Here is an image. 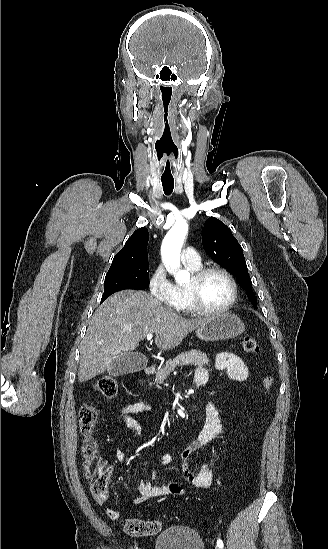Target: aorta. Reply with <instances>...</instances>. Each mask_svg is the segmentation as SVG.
<instances>
[{
    "instance_id": "762f6f07",
    "label": "aorta",
    "mask_w": 328,
    "mask_h": 549,
    "mask_svg": "<svg viewBox=\"0 0 328 549\" xmlns=\"http://www.w3.org/2000/svg\"><path fill=\"white\" fill-rule=\"evenodd\" d=\"M188 232V224L184 221H178L166 234L162 247V260L169 270L174 274L177 283H184L190 279V274L186 270L180 269V252Z\"/></svg>"
}]
</instances>
